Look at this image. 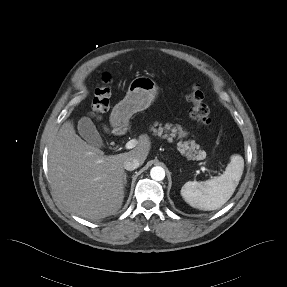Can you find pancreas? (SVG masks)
I'll return each mask as SVG.
<instances>
[{"mask_svg":"<svg viewBox=\"0 0 287 287\" xmlns=\"http://www.w3.org/2000/svg\"><path fill=\"white\" fill-rule=\"evenodd\" d=\"M171 125L167 124L165 128L169 130ZM163 128L160 126L158 130L153 129L154 132H156L159 136L163 133ZM172 133L170 134L171 137L168 138V140L171 142L173 139L172 137H175L177 131L179 134V137H183L185 135V132L182 130L180 125H177V127L171 129ZM164 138L168 137L167 134L163 135ZM199 145L195 144L194 141L191 142H179L178 143V150L181 154H185L189 159L193 160H202L206 157V152L199 150L198 152L195 149H199ZM197 154V155H196Z\"/></svg>","mask_w":287,"mask_h":287,"instance_id":"1","label":"pancreas"}]
</instances>
